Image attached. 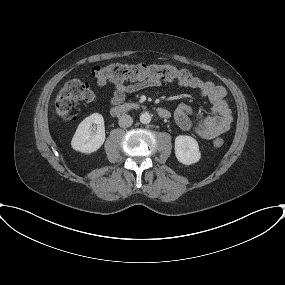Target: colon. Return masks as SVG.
Returning a JSON list of instances; mask_svg holds the SVG:
<instances>
[{
  "label": "colon",
  "mask_w": 285,
  "mask_h": 285,
  "mask_svg": "<svg viewBox=\"0 0 285 285\" xmlns=\"http://www.w3.org/2000/svg\"><path fill=\"white\" fill-rule=\"evenodd\" d=\"M92 76L99 85L107 82H123L126 80L139 81L144 79L167 81V82H187L194 78L192 72L179 68L169 63L152 64H122L111 63L107 66H96L92 69ZM94 93L87 82L74 79L64 84L54 100V108L57 115L64 121L74 120L71 113L72 106L77 102L91 101ZM224 145V139L216 138L213 146L220 148Z\"/></svg>",
  "instance_id": "obj_1"
}]
</instances>
